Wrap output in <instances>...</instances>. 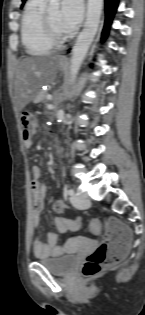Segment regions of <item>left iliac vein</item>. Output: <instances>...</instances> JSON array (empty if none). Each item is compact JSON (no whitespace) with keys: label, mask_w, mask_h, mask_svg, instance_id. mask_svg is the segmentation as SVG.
<instances>
[{"label":"left iliac vein","mask_w":145,"mask_h":315,"mask_svg":"<svg viewBox=\"0 0 145 315\" xmlns=\"http://www.w3.org/2000/svg\"><path fill=\"white\" fill-rule=\"evenodd\" d=\"M72 204L79 209L87 208L90 205V199L87 195L76 193L70 197Z\"/></svg>","instance_id":"left-iliac-vein-1"}]
</instances>
